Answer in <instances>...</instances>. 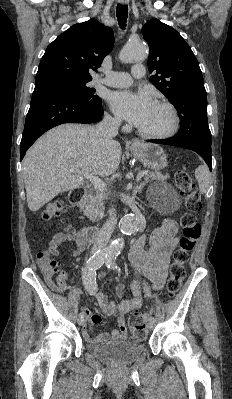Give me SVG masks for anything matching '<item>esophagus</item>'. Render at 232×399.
I'll return each instance as SVG.
<instances>
[{"label":"esophagus","instance_id":"obj_1","mask_svg":"<svg viewBox=\"0 0 232 399\" xmlns=\"http://www.w3.org/2000/svg\"><path fill=\"white\" fill-rule=\"evenodd\" d=\"M129 0H119V2L121 4H126L128 3ZM141 145V141L138 139H133L131 142V147L135 148V147H139Z\"/></svg>","mask_w":232,"mask_h":399}]
</instances>
